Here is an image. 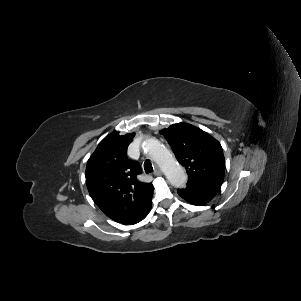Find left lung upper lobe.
<instances>
[{
	"instance_id": "1",
	"label": "left lung upper lobe",
	"mask_w": 301,
	"mask_h": 301,
	"mask_svg": "<svg viewBox=\"0 0 301 301\" xmlns=\"http://www.w3.org/2000/svg\"><path fill=\"white\" fill-rule=\"evenodd\" d=\"M161 134L188 174L187 187L217 193L224 179L225 159L220 143L203 130L178 123Z\"/></svg>"
}]
</instances>
